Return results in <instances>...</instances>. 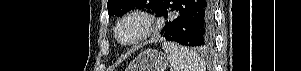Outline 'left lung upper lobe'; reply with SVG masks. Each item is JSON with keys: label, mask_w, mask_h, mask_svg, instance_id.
<instances>
[{"label": "left lung upper lobe", "mask_w": 301, "mask_h": 71, "mask_svg": "<svg viewBox=\"0 0 301 71\" xmlns=\"http://www.w3.org/2000/svg\"><path fill=\"white\" fill-rule=\"evenodd\" d=\"M164 0H108L107 9L110 16H123L135 7H145L157 14Z\"/></svg>", "instance_id": "left-lung-upper-lobe-1"}]
</instances>
